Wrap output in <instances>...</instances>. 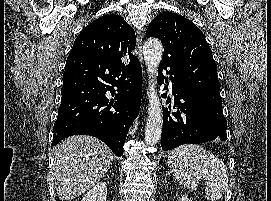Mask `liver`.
Masks as SVG:
<instances>
[{
	"instance_id": "obj_1",
	"label": "liver",
	"mask_w": 271,
	"mask_h": 201,
	"mask_svg": "<svg viewBox=\"0 0 271 201\" xmlns=\"http://www.w3.org/2000/svg\"><path fill=\"white\" fill-rule=\"evenodd\" d=\"M51 177L58 197L72 200L85 193L108 171L113 155L110 148L91 136H71L55 148Z\"/></svg>"
}]
</instances>
